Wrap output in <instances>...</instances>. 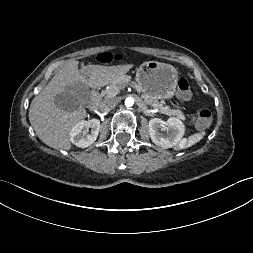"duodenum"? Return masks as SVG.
Returning <instances> with one entry per match:
<instances>
[{"mask_svg":"<svg viewBox=\"0 0 253 253\" xmlns=\"http://www.w3.org/2000/svg\"><path fill=\"white\" fill-rule=\"evenodd\" d=\"M99 105H100V95L96 90H94L91 94V99L89 102V110L95 111L99 108Z\"/></svg>","mask_w":253,"mask_h":253,"instance_id":"obj_1","label":"duodenum"}]
</instances>
